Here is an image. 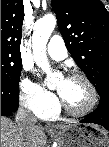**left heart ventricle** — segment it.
<instances>
[{
	"mask_svg": "<svg viewBox=\"0 0 109 147\" xmlns=\"http://www.w3.org/2000/svg\"><path fill=\"white\" fill-rule=\"evenodd\" d=\"M56 88L66 103L74 110H83L91 103V91L80 79H60Z\"/></svg>",
	"mask_w": 109,
	"mask_h": 147,
	"instance_id": "1",
	"label": "left heart ventricle"
}]
</instances>
